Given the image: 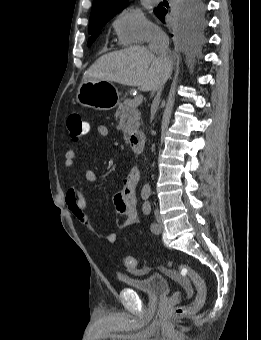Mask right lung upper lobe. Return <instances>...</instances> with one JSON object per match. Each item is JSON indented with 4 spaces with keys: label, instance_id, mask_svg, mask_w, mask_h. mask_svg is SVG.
I'll list each match as a JSON object with an SVG mask.
<instances>
[{
    "label": "right lung upper lobe",
    "instance_id": "right-lung-upper-lobe-1",
    "mask_svg": "<svg viewBox=\"0 0 261 340\" xmlns=\"http://www.w3.org/2000/svg\"><path fill=\"white\" fill-rule=\"evenodd\" d=\"M127 4L128 0H93L90 23L106 17H113Z\"/></svg>",
    "mask_w": 261,
    "mask_h": 340
}]
</instances>
